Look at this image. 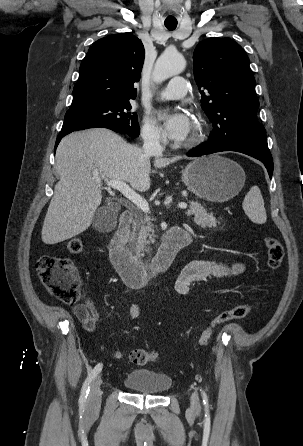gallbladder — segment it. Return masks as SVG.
I'll return each instance as SVG.
<instances>
[{"instance_id":"1","label":"gallbladder","mask_w":303,"mask_h":446,"mask_svg":"<svg viewBox=\"0 0 303 446\" xmlns=\"http://www.w3.org/2000/svg\"><path fill=\"white\" fill-rule=\"evenodd\" d=\"M115 216L109 211L106 212L103 209H99L94 213L93 216V226L95 229L100 231H106L112 227L115 223Z\"/></svg>"}]
</instances>
